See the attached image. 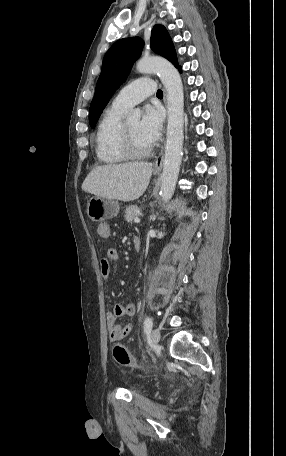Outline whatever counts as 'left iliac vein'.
<instances>
[{"instance_id":"obj_1","label":"left iliac vein","mask_w":286,"mask_h":456,"mask_svg":"<svg viewBox=\"0 0 286 456\" xmlns=\"http://www.w3.org/2000/svg\"><path fill=\"white\" fill-rule=\"evenodd\" d=\"M151 340L153 344L157 345L160 341V331L158 329H153L151 331Z\"/></svg>"}]
</instances>
